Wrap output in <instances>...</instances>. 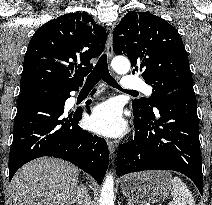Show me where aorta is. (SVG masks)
Wrapping results in <instances>:
<instances>
[{
  "mask_svg": "<svg viewBox=\"0 0 212 205\" xmlns=\"http://www.w3.org/2000/svg\"><path fill=\"white\" fill-rule=\"evenodd\" d=\"M111 66L119 74H126L130 70V62L126 57L113 58ZM99 205H114V178L113 174H107L99 199Z\"/></svg>",
  "mask_w": 212,
  "mask_h": 205,
  "instance_id": "aorta-1",
  "label": "aorta"
}]
</instances>
